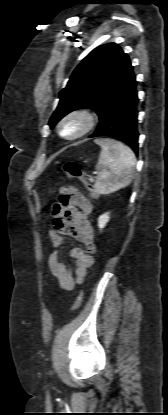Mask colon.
<instances>
[{
	"mask_svg": "<svg viewBox=\"0 0 168 415\" xmlns=\"http://www.w3.org/2000/svg\"><path fill=\"white\" fill-rule=\"evenodd\" d=\"M64 171L68 178H76L81 180V185L83 189H87L88 196L91 197L92 200L98 199L99 189L95 187L93 182L89 177H85V174L80 167V165L74 161H68L64 164ZM55 226V224H54ZM56 228V227H55ZM83 301V292H80L75 301L73 302L71 309L76 310L78 309Z\"/></svg>",
	"mask_w": 168,
	"mask_h": 415,
	"instance_id": "5ec220e1",
	"label": "colon"
}]
</instances>
